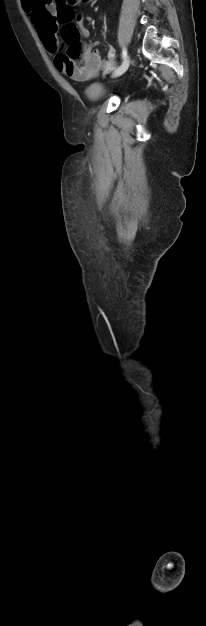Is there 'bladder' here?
<instances>
[{"label":"bladder","mask_w":206,"mask_h":626,"mask_svg":"<svg viewBox=\"0 0 206 626\" xmlns=\"http://www.w3.org/2000/svg\"><path fill=\"white\" fill-rule=\"evenodd\" d=\"M85 95L90 101L98 102L104 99L107 93L104 87L100 84H93L86 89Z\"/></svg>","instance_id":"obj_1"}]
</instances>
